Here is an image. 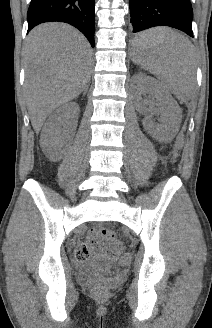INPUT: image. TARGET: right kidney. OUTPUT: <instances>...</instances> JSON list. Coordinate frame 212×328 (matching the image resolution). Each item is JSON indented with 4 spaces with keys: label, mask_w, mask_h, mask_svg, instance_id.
<instances>
[{
    "label": "right kidney",
    "mask_w": 212,
    "mask_h": 328,
    "mask_svg": "<svg viewBox=\"0 0 212 328\" xmlns=\"http://www.w3.org/2000/svg\"><path fill=\"white\" fill-rule=\"evenodd\" d=\"M79 112L80 108L76 102L67 103L57 109L43 127L42 146H54L58 140L70 141L76 129Z\"/></svg>",
    "instance_id": "obj_1"
}]
</instances>
